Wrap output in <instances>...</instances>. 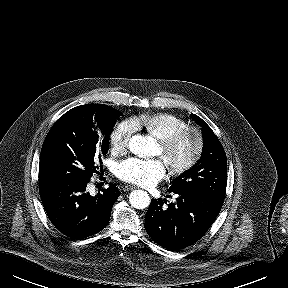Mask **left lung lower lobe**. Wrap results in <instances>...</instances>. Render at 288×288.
<instances>
[{
	"label": "left lung lower lobe",
	"mask_w": 288,
	"mask_h": 288,
	"mask_svg": "<svg viewBox=\"0 0 288 288\" xmlns=\"http://www.w3.org/2000/svg\"><path fill=\"white\" fill-rule=\"evenodd\" d=\"M176 202L152 199L145 216L147 234L167 250H180L196 243L211 227L222 204L206 196L173 193Z\"/></svg>",
	"instance_id": "left-lung-lower-lobe-1"
}]
</instances>
